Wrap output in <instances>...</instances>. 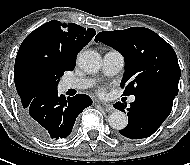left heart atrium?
I'll return each mask as SVG.
<instances>
[{
    "label": "left heart atrium",
    "mask_w": 190,
    "mask_h": 165,
    "mask_svg": "<svg viewBox=\"0 0 190 165\" xmlns=\"http://www.w3.org/2000/svg\"><path fill=\"white\" fill-rule=\"evenodd\" d=\"M99 92H100L101 94H103V93H104V89H103V88H100V89H99Z\"/></svg>",
    "instance_id": "left-heart-atrium-1"
}]
</instances>
